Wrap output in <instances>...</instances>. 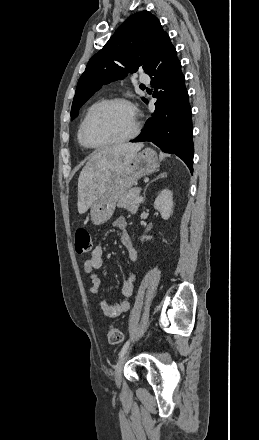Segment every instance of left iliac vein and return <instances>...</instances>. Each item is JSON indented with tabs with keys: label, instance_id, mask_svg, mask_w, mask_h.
Listing matches in <instances>:
<instances>
[{
	"label": "left iliac vein",
	"instance_id": "4c4485c4",
	"mask_svg": "<svg viewBox=\"0 0 259 440\" xmlns=\"http://www.w3.org/2000/svg\"><path fill=\"white\" fill-rule=\"evenodd\" d=\"M129 350L130 349H127L126 352L123 354V356L120 358V360L116 366V369H115V383L118 387L121 384L122 370H123L124 363L128 357Z\"/></svg>",
	"mask_w": 259,
	"mask_h": 440
}]
</instances>
